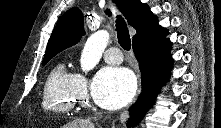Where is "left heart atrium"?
I'll use <instances>...</instances> for the list:
<instances>
[{"instance_id": "1", "label": "left heart atrium", "mask_w": 221, "mask_h": 128, "mask_svg": "<svg viewBox=\"0 0 221 128\" xmlns=\"http://www.w3.org/2000/svg\"><path fill=\"white\" fill-rule=\"evenodd\" d=\"M136 80L124 68H103L95 77L92 96L106 109H117L126 105L134 96Z\"/></svg>"}]
</instances>
